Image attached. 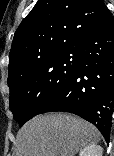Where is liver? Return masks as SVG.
<instances>
[{
    "instance_id": "liver-1",
    "label": "liver",
    "mask_w": 114,
    "mask_h": 156,
    "mask_svg": "<svg viewBox=\"0 0 114 156\" xmlns=\"http://www.w3.org/2000/svg\"><path fill=\"white\" fill-rule=\"evenodd\" d=\"M100 132L91 123L71 114L38 115L18 132L15 156H75L97 144Z\"/></svg>"
}]
</instances>
